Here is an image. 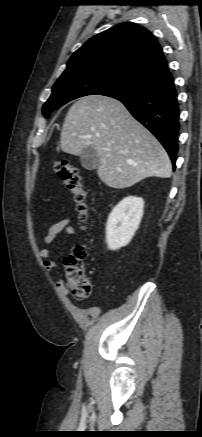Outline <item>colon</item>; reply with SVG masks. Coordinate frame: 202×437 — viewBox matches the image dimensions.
I'll list each match as a JSON object with an SVG mask.
<instances>
[{
  "mask_svg": "<svg viewBox=\"0 0 202 437\" xmlns=\"http://www.w3.org/2000/svg\"><path fill=\"white\" fill-rule=\"evenodd\" d=\"M54 170L64 187L71 193L79 220L84 224L90 215L91 206L77 167L63 159L54 163ZM86 256L85 247L77 245L64 262L66 287L77 299L87 298L92 292V286L85 270Z\"/></svg>",
  "mask_w": 202,
  "mask_h": 437,
  "instance_id": "1",
  "label": "colon"
}]
</instances>
